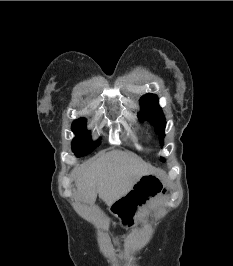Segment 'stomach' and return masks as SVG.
I'll return each instance as SVG.
<instances>
[{"instance_id": "obj_1", "label": "stomach", "mask_w": 233, "mask_h": 266, "mask_svg": "<svg viewBox=\"0 0 233 266\" xmlns=\"http://www.w3.org/2000/svg\"><path fill=\"white\" fill-rule=\"evenodd\" d=\"M168 184L160 173H148L140 177L131 191L123 194V199H116L113 204L114 214H122L121 228H130L134 225L135 216L142 215L147 207L158 197H163L168 192ZM134 203V209L132 204Z\"/></svg>"}]
</instances>
